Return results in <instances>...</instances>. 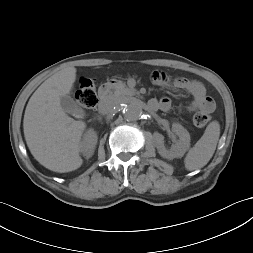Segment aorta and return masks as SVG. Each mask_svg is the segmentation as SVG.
Instances as JSON below:
<instances>
[{
    "instance_id": "1",
    "label": "aorta",
    "mask_w": 253,
    "mask_h": 253,
    "mask_svg": "<svg viewBox=\"0 0 253 253\" xmlns=\"http://www.w3.org/2000/svg\"><path fill=\"white\" fill-rule=\"evenodd\" d=\"M143 114V108L138 102H131L124 107V117L129 121L140 119Z\"/></svg>"
}]
</instances>
